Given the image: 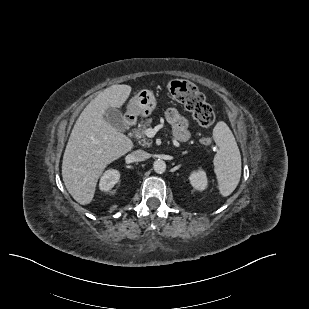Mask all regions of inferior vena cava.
<instances>
[{"label":"inferior vena cava","mask_w":309,"mask_h":309,"mask_svg":"<svg viewBox=\"0 0 309 309\" xmlns=\"http://www.w3.org/2000/svg\"><path fill=\"white\" fill-rule=\"evenodd\" d=\"M150 157V154L145 152L144 150H136L132 153V158L134 161H144Z\"/></svg>","instance_id":"inferior-vena-cava-1"}]
</instances>
